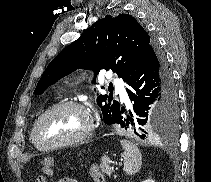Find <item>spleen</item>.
<instances>
[{
  "mask_svg": "<svg viewBox=\"0 0 211 182\" xmlns=\"http://www.w3.org/2000/svg\"><path fill=\"white\" fill-rule=\"evenodd\" d=\"M124 150V171L127 175H134L140 171L142 155L139 148L128 140H121Z\"/></svg>",
  "mask_w": 211,
  "mask_h": 182,
  "instance_id": "1",
  "label": "spleen"
}]
</instances>
